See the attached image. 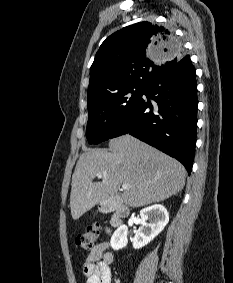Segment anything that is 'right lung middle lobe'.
<instances>
[{
  "label": "right lung middle lobe",
  "mask_w": 233,
  "mask_h": 283,
  "mask_svg": "<svg viewBox=\"0 0 233 283\" xmlns=\"http://www.w3.org/2000/svg\"><path fill=\"white\" fill-rule=\"evenodd\" d=\"M144 89V86H130L88 106L87 139L89 143L97 144L111 138L113 131L139 102Z\"/></svg>",
  "instance_id": "obj_1"
}]
</instances>
